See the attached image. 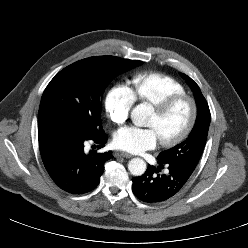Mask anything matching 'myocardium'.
I'll use <instances>...</instances> for the list:
<instances>
[{"label":"myocardium","instance_id":"f54148a6","mask_svg":"<svg viewBox=\"0 0 248 248\" xmlns=\"http://www.w3.org/2000/svg\"><path fill=\"white\" fill-rule=\"evenodd\" d=\"M181 101H187L190 104V118L186 125V127L183 129V131L175 136L174 138L168 139V140H162L160 141V144L163 147H174L181 142H183L192 132L196 121L198 117V104L197 101L190 95L187 94H174L170 95L158 103L152 105L153 111L156 113L157 116H163L165 115L175 104Z\"/></svg>","mask_w":248,"mask_h":248}]
</instances>
